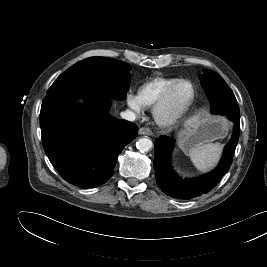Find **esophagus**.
Segmentation results:
<instances>
[{
	"label": "esophagus",
	"mask_w": 267,
	"mask_h": 267,
	"mask_svg": "<svg viewBox=\"0 0 267 267\" xmlns=\"http://www.w3.org/2000/svg\"><path fill=\"white\" fill-rule=\"evenodd\" d=\"M139 134L140 135H152V132L149 128L142 127L139 129Z\"/></svg>",
	"instance_id": "34e87169"
}]
</instances>
